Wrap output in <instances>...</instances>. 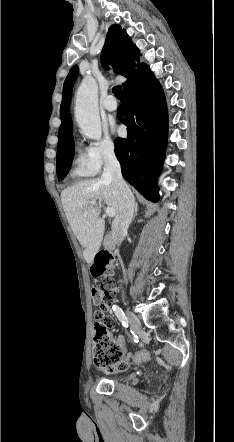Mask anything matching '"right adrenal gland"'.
<instances>
[{
  "mask_svg": "<svg viewBox=\"0 0 234 442\" xmlns=\"http://www.w3.org/2000/svg\"><path fill=\"white\" fill-rule=\"evenodd\" d=\"M137 211H138V204H135V213H134V218L137 216Z\"/></svg>",
  "mask_w": 234,
  "mask_h": 442,
  "instance_id": "right-adrenal-gland-1",
  "label": "right adrenal gland"
}]
</instances>
